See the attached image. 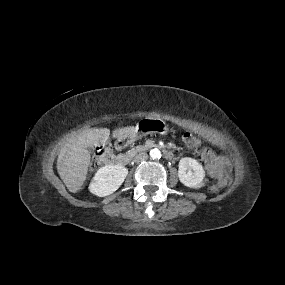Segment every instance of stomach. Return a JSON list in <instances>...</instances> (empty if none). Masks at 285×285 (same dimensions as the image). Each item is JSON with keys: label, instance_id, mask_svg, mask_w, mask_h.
Segmentation results:
<instances>
[{"label": "stomach", "instance_id": "1", "mask_svg": "<svg viewBox=\"0 0 285 285\" xmlns=\"http://www.w3.org/2000/svg\"><path fill=\"white\" fill-rule=\"evenodd\" d=\"M154 125H157L156 120L143 119L137 124L134 132L129 134L128 136H130L133 140H135L137 138L142 137L143 135L156 132L155 130L152 129ZM162 127L164 128V126Z\"/></svg>", "mask_w": 285, "mask_h": 285}]
</instances>
